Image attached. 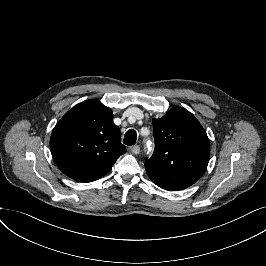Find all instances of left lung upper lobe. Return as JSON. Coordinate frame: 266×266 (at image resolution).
<instances>
[{"mask_svg": "<svg viewBox=\"0 0 266 266\" xmlns=\"http://www.w3.org/2000/svg\"><path fill=\"white\" fill-rule=\"evenodd\" d=\"M155 150L146 160L150 178L187 188L205 172L210 157L207 134L193 114L182 107L153 120Z\"/></svg>", "mask_w": 266, "mask_h": 266, "instance_id": "left-lung-upper-lobe-1", "label": "left lung upper lobe"}]
</instances>
